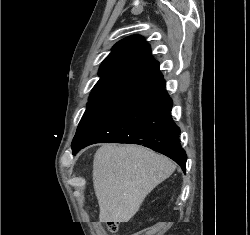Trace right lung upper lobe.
Wrapping results in <instances>:
<instances>
[{
    "label": "right lung upper lobe",
    "mask_w": 250,
    "mask_h": 235,
    "mask_svg": "<svg viewBox=\"0 0 250 235\" xmlns=\"http://www.w3.org/2000/svg\"><path fill=\"white\" fill-rule=\"evenodd\" d=\"M100 79L90 97L132 96L161 76L150 45L140 35L129 36L114 45L99 69Z\"/></svg>",
    "instance_id": "right-lung-upper-lobe-1"
}]
</instances>
